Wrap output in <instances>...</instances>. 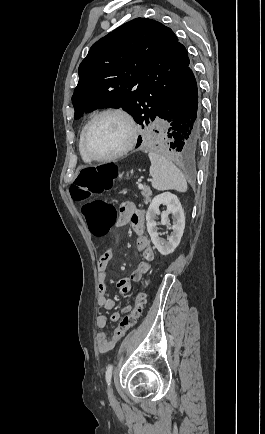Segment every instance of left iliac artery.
I'll list each match as a JSON object with an SVG mask.
<instances>
[{
  "mask_svg": "<svg viewBox=\"0 0 265 434\" xmlns=\"http://www.w3.org/2000/svg\"><path fill=\"white\" fill-rule=\"evenodd\" d=\"M112 371H113V365L109 364L107 366V370H106V373H105V378H106V382H107L108 385H110V382H111Z\"/></svg>",
  "mask_w": 265,
  "mask_h": 434,
  "instance_id": "44dca946",
  "label": "left iliac artery"
}]
</instances>
